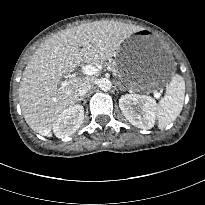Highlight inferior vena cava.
<instances>
[{"label":"inferior vena cava","instance_id":"obj_1","mask_svg":"<svg viewBox=\"0 0 205 205\" xmlns=\"http://www.w3.org/2000/svg\"><path fill=\"white\" fill-rule=\"evenodd\" d=\"M92 86H93V80L89 78L85 79L79 86L78 89L79 96H84L91 89Z\"/></svg>","mask_w":205,"mask_h":205}]
</instances>
